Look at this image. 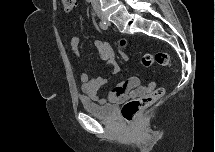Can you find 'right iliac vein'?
<instances>
[{
    "mask_svg": "<svg viewBox=\"0 0 215 152\" xmlns=\"http://www.w3.org/2000/svg\"><path fill=\"white\" fill-rule=\"evenodd\" d=\"M100 17L101 19L106 20L105 16L101 15Z\"/></svg>",
    "mask_w": 215,
    "mask_h": 152,
    "instance_id": "obj_1",
    "label": "right iliac vein"
}]
</instances>
